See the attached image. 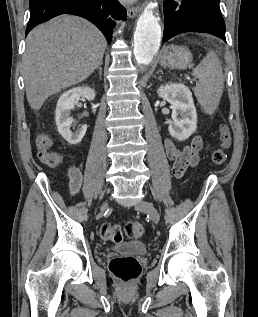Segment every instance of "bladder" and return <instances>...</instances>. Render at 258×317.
<instances>
[{"label": "bladder", "mask_w": 258, "mask_h": 317, "mask_svg": "<svg viewBox=\"0 0 258 317\" xmlns=\"http://www.w3.org/2000/svg\"><path fill=\"white\" fill-rule=\"evenodd\" d=\"M118 256L137 257L147 253V246L140 241L125 242L114 247L113 249Z\"/></svg>", "instance_id": "bladder-1"}]
</instances>
